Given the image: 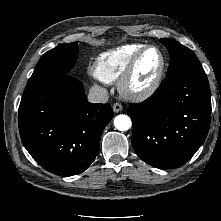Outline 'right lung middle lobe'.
<instances>
[{
  "label": "right lung middle lobe",
  "instance_id": "obj_1",
  "mask_svg": "<svg viewBox=\"0 0 221 221\" xmlns=\"http://www.w3.org/2000/svg\"><path fill=\"white\" fill-rule=\"evenodd\" d=\"M77 55V42L57 46L43 54L32 76L40 74H67L75 65Z\"/></svg>",
  "mask_w": 221,
  "mask_h": 221
}]
</instances>
